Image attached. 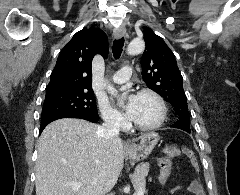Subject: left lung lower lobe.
<instances>
[{"label": "left lung lower lobe", "mask_w": 240, "mask_h": 195, "mask_svg": "<svg viewBox=\"0 0 240 195\" xmlns=\"http://www.w3.org/2000/svg\"><path fill=\"white\" fill-rule=\"evenodd\" d=\"M171 127H174L173 125H171ZM174 128H176V127H174ZM179 129H181V128H179ZM183 130V129H182ZM185 131V130H184Z\"/></svg>", "instance_id": "0a47b994"}]
</instances>
